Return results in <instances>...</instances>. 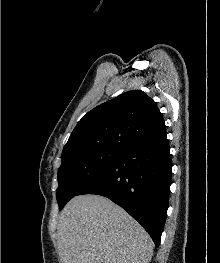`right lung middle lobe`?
<instances>
[{
    "label": "right lung middle lobe",
    "instance_id": "right-lung-middle-lobe-1",
    "mask_svg": "<svg viewBox=\"0 0 220 263\" xmlns=\"http://www.w3.org/2000/svg\"><path fill=\"white\" fill-rule=\"evenodd\" d=\"M124 150L91 148L70 151L61 156L56 191L59 210L97 175L117 161Z\"/></svg>",
    "mask_w": 220,
    "mask_h": 263
}]
</instances>
